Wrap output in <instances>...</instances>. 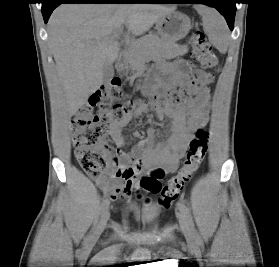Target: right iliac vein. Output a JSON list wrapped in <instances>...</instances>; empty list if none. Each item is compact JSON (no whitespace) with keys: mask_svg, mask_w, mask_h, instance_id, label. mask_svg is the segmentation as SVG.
<instances>
[{"mask_svg":"<svg viewBox=\"0 0 279 267\" xmlns=\"http://www.w3.org/2000/svg\"><path fill=\"white\" fill-rule=\"evenodd\" d=\"M108 219H109V212L105 211L104 214L102 215L98 225L95 228V231L92 236V240H97L100 237L101 233L103 232V230L106 227Z\"/></svg>","mask_w":279,"mask_h":267,"instance_id":"obj_1","label":"right iliac vein"}]
</instances>
